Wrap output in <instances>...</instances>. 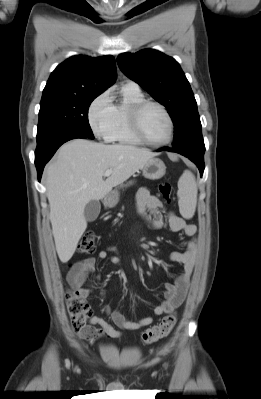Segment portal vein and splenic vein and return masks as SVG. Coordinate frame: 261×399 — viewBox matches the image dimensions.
I'll return each mask as SVG.
<instances>
[{
  "mask_svg": "<svg viewBox=\"0 0 261 399\" xmlns=\"http://www.w3.org/2000/svg\"><path fill=\"white\" fill-rule=\"evenodd\" d=\"M111 174H112V170H107V171H105L104 176L109 177Z\"/></svg>",
  "mask_w": 261,
  "mask_h": 399,
  "instance_id": "obj_1",
  "label": "portal vein and splenic vein"
}]
</instances>
